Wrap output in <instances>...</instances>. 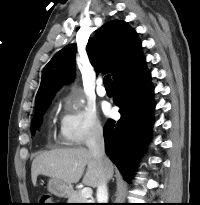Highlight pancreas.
<instances>
[{"label": "pancreas", "instance_id": "obj_1", "mask_svg": "<svg viewBox=\"0 0 200 205\" xmlns=\"http://www.w3.org/2000/svg\"><path fill=\"white\" fill-rule=\"evenodd\" d=\"M68 203H90L81 196V191H72L68 197Z\"/></svg>", "mask_w": 200, "mask_h": 205}]
</instances>
